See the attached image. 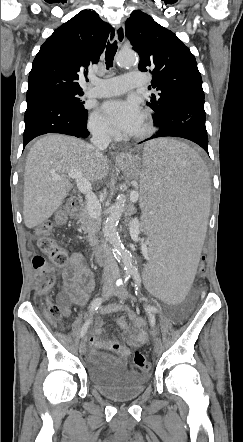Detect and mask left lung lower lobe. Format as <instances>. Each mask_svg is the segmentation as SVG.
I'll list each match as a JSON object with an SVG mask.
<instances>
[{
    "instance_id": "left-lung-lower-lobe-1",
    "label": "left lung lower lobe",
    "mask_w": 243,
    "mask_h": 442,
    "mask_svg": "<svg viewBox=\"0 0 243 442\" xmlns=\"http://www.w3.org/2000/svg\"><path fill=\"white\" fill-rule=\"evenodd\" d=\"M154 125L159 131L151 140L159 137H181L191 140L208 153V137L205 127L204 92L188 90L174 96L165 112Z\"/></svg>"
}]
</instances>
